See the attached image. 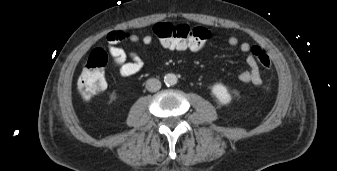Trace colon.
<instances>
[{
    "label": "colon",
    "instance_id": "1",
    "mask_svg": "<svg viewBox=\"0 0 337 171\" xmlns=\"http://www.w3.org/2000/svg\"><path fill=\"white\" fill-rule=\"evenodd\" d=\"M152 30L164 53H177L183 48L198 51L209 38V30L204 26L159 22ZM251 54L262 68L270 69L271 60L260 46H253ZM107 62L108 56L104 49L96 48L90 53L77 80V89L84 101H91L106 88L104 69Z\"/></svg>",
    "mask_w": 337,
    "mask_h": 171
}]
</instances>
